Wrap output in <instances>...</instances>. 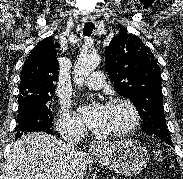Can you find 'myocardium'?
Returning <instances> with one entry per match:
<instances>
[{
	"label": "myocardium",
	"instance_id": "f54148a6",
	"mask_svg": "<svg viewBox=\"0 0 183 179\" xmlns=\"http://www.w3.org/2000/svg\"><path fill=\"white\" fill-rule=\"evenodd\" d=\"M116 104L124 105L130 110L132 116L131 122L128 126L120 130L105 132V135L110 137H122L129 135L133 133L140 125L141 122L140 112L135 103L128 98L114 97L107 102V105H116Z\"/></svg>",
	"mask_w": 183,
	"mask_h": 179
}]
</instances>
